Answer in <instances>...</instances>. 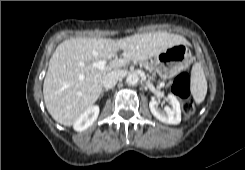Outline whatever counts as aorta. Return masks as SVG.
Returning <instances> with one entry per match:
<instances>
[{"label": "aorta", "mask_w": 245, "mask_h": 170, "mask_svg": "<svg viewBox=\"0 0 245 170\" xmlns=\"http://www.w3.org/2000/svg\"><path fill=\"white\" fill-rule=\"evenodd\" d=\"M126 82L129 85H136L139 82V77L135 73H131L127 76Z\"/></svg>", "instance_id": "aorta-1"}]
</instances>
